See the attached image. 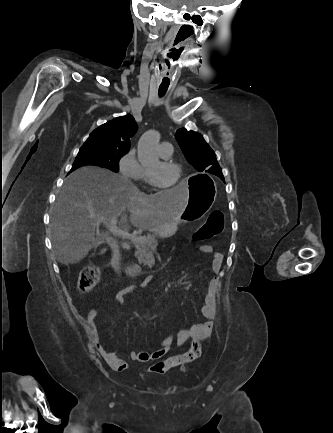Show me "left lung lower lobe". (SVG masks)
Listing matches in <instances>:
<instances>
[{
  "mask_svg": "<svg viewBox=\"0 0 333 433\" xmlns=\"http://www.w3.org/2000/svg\"><path fill=\"white\" fill-rule=\"evenodd\" d=\"M220 178H221L222 180H224L223 176H220Z\"/></svg>",
  "mask_w": 333,
  "mask_h": 433,
  "instance_id": "1",
  "label": "left lung lower lobe"
}]
</instances>
